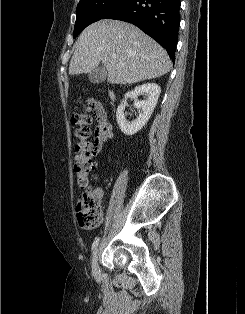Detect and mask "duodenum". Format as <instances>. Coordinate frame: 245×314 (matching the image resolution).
I'll list each match as a JSON object with an SVG mask.
<instances>
[{
  "label": "duodenum",
  "mask_w": 245,
  "mask_h": 314,
  "mask_svg": "<svg viewBox=\"0 0 245 314\" xmlns=\"http://www.w3.org/2000/svg\"><path fill=\"white\" fill-rule=\"evenodd\" d=\"M109 97H110L111 100H113L114 97H115L114 93H113V92H110V93H109Z\"/></svg>",
  "instance_id": "410a0bca"
}]
</instances>
